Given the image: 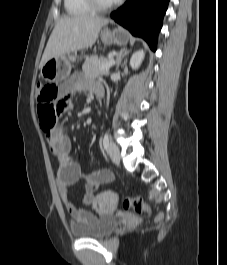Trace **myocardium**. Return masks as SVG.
<instances>
[{
  "mask_svg": "<svg viewBox=\"0 0 227 265\" xmlns=\"http://www.w3.org/2000/svg\"><path fill=\"white\" fill-rule=\"evenodd\" d=\"M88 5L94 10V11H106L111 8H113L115 5L118 4L119 1H113L109 4H102L99 0H86Z\"/></svg>",
  "mask_w": 227,
  "mask_h": 265,
  "instance_id": "1",
  "label": "myocardium"
}]
</instances>
